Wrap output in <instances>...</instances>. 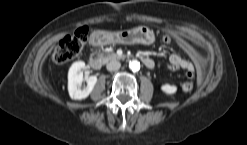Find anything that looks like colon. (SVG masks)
Here are the masks:
<instances>
[{"label":"colon","mask_w":247,"mask_h":145,"mask_svg":"<svg viewBox=\"0 0 247 145\" xmlns=\"http://www.w3.org/2000/svg\"><path fill=\"white\" fill-rule=\"evenodd\" d=\"M87 36L88 29L84 27L60 40L53 53L54 63L60 65L76 58L80 54ZM162 40L164 43H169L172 37L170 34L165 33ZM193 88L194 82L192 76H188V79L182 84V89L185 92H190Z\"/></svg>","instance_id":"colon-1"}]
</instances>
